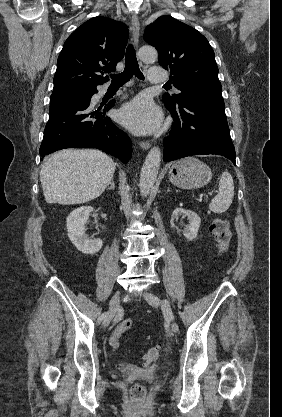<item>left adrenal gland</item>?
I'll return each instance as SVG.
<instances>
[{"label": "left adrenal gland", "mask_w": 282, "mask_h": 417, "mask_svg": "<svg viewBox=\"0 0 282 417\" xmlns=\"http://www.w3.org/2000/svg\"><path fill=\"white\" fill-rule=\"evenodd\" d=\"M167 192H170V184H169V186H168V188H167Z\"/></svg>", "instance_id": "left-adrenal-gland-1"}]
</instances>
